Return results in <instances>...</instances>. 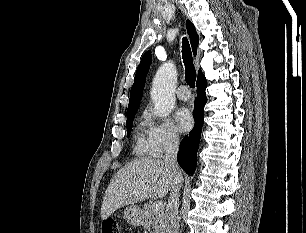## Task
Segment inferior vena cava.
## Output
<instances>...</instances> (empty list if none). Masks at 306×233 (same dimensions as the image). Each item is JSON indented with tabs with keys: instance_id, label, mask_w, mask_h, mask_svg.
<instances>
[{
	"instance_id": "obj_1",
	"label": "inferior vena cava",
	"mask_w": 306,
	"mask_h": 233,
	"mask_svg": "<svg viewBox=\"0 0 306 233\" xmlns=\"http://www.w3.org/2000/svg\"><path fill=\"white\" fill-rule=\"evenodd\" d=\"M179 150V139L176 135L171 136L166 142L164 163L171 167L174 179L171 186V193L165 210L166 233H179L177 213L179 206V191L182 183L181 170L177 163Z\"/></svg>"
}]
</instances>
